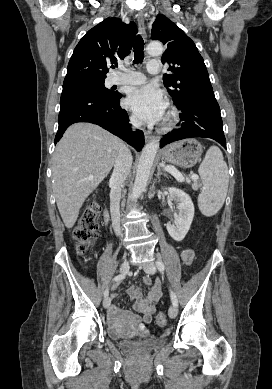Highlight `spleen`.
<instances>
[{"mask_svg":"<svg viewBox=\"0 0 272 389\" xmlns=\"http://www.w3.org/2000/svg\"><path fill=\"white\" fill-rule=\"evenodd\" d=\"M198 173L203 183L198 207L203 215L210 217L223 206L229 184L228 167L218 147L211 146L208 149Z\"/></svg>","mask_w":272,"mask_h":389,"instance_id":"spleen-1","label":"spleen"}]
</instances>
